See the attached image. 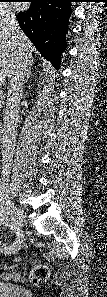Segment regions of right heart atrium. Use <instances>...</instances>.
<instances>
[{"label":"right heart atrium","mask_w":107,"mask_h":297,"mask_svg":"<svg viewBox=\"0 0 107 297\" xmlns=\"http://www.w3.org/2000/svg\"><path fill=\"white\" fill-rule=\"evenodd\" d=\"M11 17V11L7 7H0V19H9Z\"/></svg>","instance_id":"right-heart-atrium-1"}]
</instances>
